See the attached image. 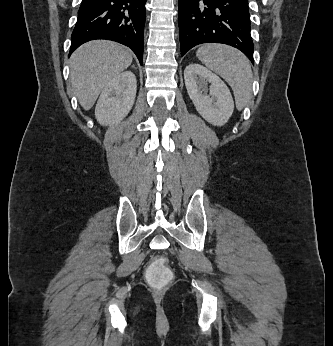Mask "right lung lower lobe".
I'll return each mask as SVG.
<instances>
[{
    "instance_id": "1",
    "label": "right lung lower lobe",
    "mask_w": 333,
    "mask_h": 346,
    "mask_svg": "<svg viewBox=\"0 0 333 346\" xmlns=\"http://www.w3.org/2000/svg\"><path fill=\"white\" fill-rule=\"evenodd\" d=\"M146 1L82 0L69 56L87 41L107 39L131 48L142 65Z\"/></svg>"
}]
</instances>
